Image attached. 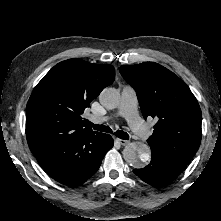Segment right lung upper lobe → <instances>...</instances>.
Masks as SVG:
<instances>
[{"instance_id": "obj_1", "label": "right lung upper lobe", "mask_w": 221, "mask_h": 221, "mask_svg": "<svg viewBox=\"0 0 221 221\" xmlns=\"http://www.w3.org/2000/svg\"><path fill=\"white\" fill-rule=\"evenodd\" d=\"M112 65L69 59L54 66L38 83L26 106V136L34 156L85 133H97L81 115L113 83Z\"/></svg>"}]
</instances>
